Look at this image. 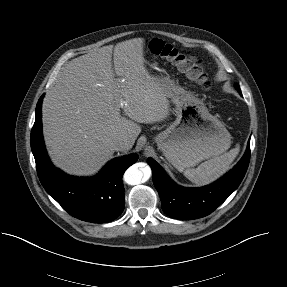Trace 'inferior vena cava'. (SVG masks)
<instances>
[{
	"mask_svg": "<svg viewBox=\"0 0 287 287\" xmlns=\"http://www.w3.org/2000/svg\"><path fill=\"white\" fill-rule=\"evenodd\" d=\"M127 145V139L125 137H116L111 141V146L114 150L121 151Z\"/></svg>",
	"mask_w": 287,
	"mask_h": 287,
	"instance_id": "obj_1",
	"label": "inferior vena cava"
}]
</instances>
